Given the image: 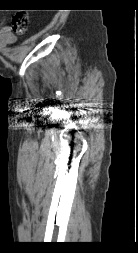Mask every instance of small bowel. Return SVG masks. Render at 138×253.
<instances>
[{"instance_id": "c3829d8e", "label": "small bowel", "mask_w": 138, "mask_h": 253, "mask_svg": "<svg viewBox=\"0 0 138 253\" xmlns=\"http://www.w3.org/2000/svg\"><path fill=\"white\" fill-rule=\"evenodd\" d=\"M16 40L12 29L8 26H0V46H7L14 43Z\"/></svg>"}]
</instances>
